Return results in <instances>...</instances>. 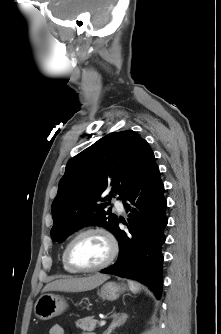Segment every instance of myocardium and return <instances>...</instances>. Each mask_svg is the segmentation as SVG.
<instances>
[{
  "label": "myocardium",
  "mask_w": 221,
  "mask_h": 334,
  "mask_svg": "<svg viewBox=\"0 0 221 334\" xmlns=\"http://www.w3.org/2000/svg\"><path fill=\"white\" fill-rule=\"evenodd\" d=\"M88 233H99L103 235L109 243V255L108 257L100 264L92 267H78L76 266L70 258V250L74 242L81 236ZM119 251V244L116 236L106 227L103 226H89L78 231L67 243L64 251V258L67 266L75 272H94L102 270L108 267L116 258Z\"/></svg>",
  "instance_id": "myocardium-1"
}]
</instances>
